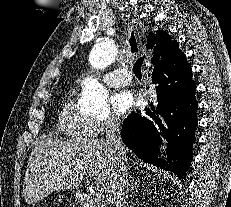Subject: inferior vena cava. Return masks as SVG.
<instances>
[{"label":"inferior vena cava","instance_id":"1","mask_svg":"<svg viewBox=\"0 0 231 207\" xmlns=\"http://www.w3.org/2000/svg\"><path fill=\"white\" fill-rule=\"evenodd\" d=\"M105 142L120 158V166L112 190L116 207H127L129 183L126 169V152L121 140V120L117 116H112L107 121Z\"/></svg>","mask_w":231,"mask_h":207}]
</instances>
